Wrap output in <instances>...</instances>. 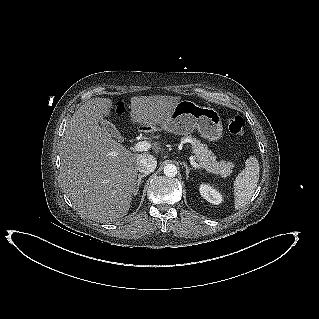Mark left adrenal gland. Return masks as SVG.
Instances as JSON below:
<instances>
[{"instance_id":"1","label":"left adrenal gland","mask_w":319,"mask_h":319,"mask_svg":"<svg viewBox=\"0 0 319 319\" xmlns=\"http://www.w3.org/2000/svg\"><path fill=\"white\" fill-rule=\"evenodd\" d=\"M183 165H184V167L186 168V179L188 180V179H189V172L192 171V170H194V169L188 167V165H187L185 162H183Z\"/></svg>"}]
</instances>
